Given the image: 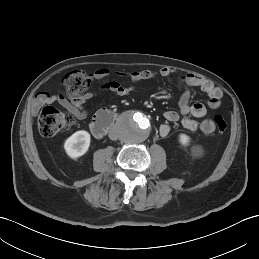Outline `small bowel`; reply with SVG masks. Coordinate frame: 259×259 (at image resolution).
<instances>
[{
	"instance_id": "small-bowel-1",
	"label": "small bowel",
	"mask_w": 259,
	"mask_h": 259,
	"mask_svg": "<svg viewBox=\"0 0 259 259\" xmlns=\"http://www.w3.org/2000/svg\"><path fill=\"white\" fill-rule=\"evenodd\" d=\"M175 69L170 67L162 68L158 73L151 70L142 71H129L116 73L117 76L129 79L130 81L137 83L141 81H148L155 79L157 76L170 79L175 74ZM110 70L106 68L98 69L93 72L92 78L100 81L110 75ZM182 84L186 87L182 93L178 105L180 114L183 116L182 125L185 129L195 132L200 130L204 134H212L215 131L214 122L210 119L204 118L201 121H196L194 118H203L207 113V108L204 104L196 102L191 103V93L188 87H195L207 94L208 101L207 106L211 109H216L221 105V99L223 96L222 90L215 86L214 83L204 77L195 74H186L180 78ZM110 92L116 96H125L131 91V87L125 86L116 79H110L102 83L97 90H90L82 94L75 99H68L63 94H50L48 92H40L34 98L32 102V112L36 113L43 105L58 103L64 107L68 112L78 119H84L87 117L88 112L85 105L92 100L99 92ZM167 122L173 123L179 120V114L173 110H167L163 114ZM170 133V126L168 124H162L159 127V134L163 137Z\"/></svg>"
}]
</instances>
